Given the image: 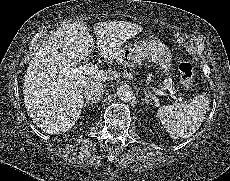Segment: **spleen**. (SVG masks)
Returning a JSON list of instances; mask_svg holds the SVG:
<instances>
[{
  "label": "spleen",
  "instance_id": "obj_1",
  "mask_svg": "<svg viewBox=\"0 0 230 181\" xmlns=\"http://www.w3.org/2000/svg\"><path fill=\"white\" fill-rule=\"evenodd\" d=\"M207 99L204 93L194 97L193 100L164 105L158 109L157 117L171 138H189L197 131L204 119Z\"/></svg>",
  "mask_w": 230,
  "mask_h": 181
}]
</instances>
